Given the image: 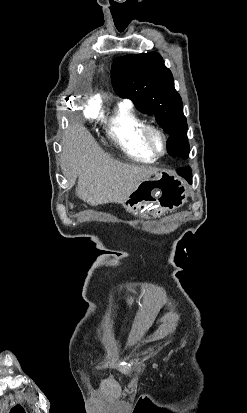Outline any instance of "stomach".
Masks as SVG:
<instances>
[{"instance_id": "1", "label": "stomach", "mask_w": 247, "mask_h": 413, "mask_svg": "<svg viewBox=\"0 0 247 413\" xmlns=\"http://www.w3.org/2000/svg\"><path fill=\"white\" fill-rule=\"evenodd\" d=\"M189 196L188 184L184 178L161 170L155 172L150 178L141 180L135 190L124 198V209L132 215H152L159 217L165 211H173L183 207Z\"/></svg>"}]
</instances>
